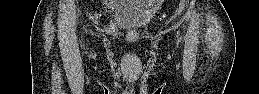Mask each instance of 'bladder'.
Wrapping results in <instances>:
<instances>
[{"label":"bladder","mask_w":259,"mask_h":94,"mask_svg":"<svg viewBox=\"0 0 259 94\" xmlns=\"http://www.w3.org/2000/svg\"><path fill=\"white\" fill-rule=\"evenodd\" d=\"M156 13L157 7L150 1H113L109 8L111 23L126 32L148 28Z\"/></svg>","instance_id":"bladder-1"}]
</instances>
